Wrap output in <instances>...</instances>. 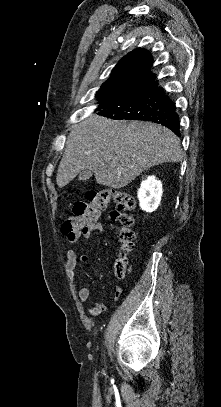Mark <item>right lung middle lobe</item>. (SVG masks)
Segmentation results:
<instances>
[{
    "label": "right lung middle lobe",
    "instance_id": "right-lung-middle-lobe-1",
    "mask_svg": "<svg viewBox=\"0 0 221 407\" xmlns=\"http://www.w3.org/2000/svg\"><path fill=\"white\" fill-rule=\"evenodd\" d=\"M138 84L129 87L127 89L115 90V89H104L100 88L99 91L96 93L98 100H100L99 107H106L109 106L122 98L128 96L132 92L136 91L137 89L141 88Z\"/></svg>",
    "mask_w": 221,
    "mask_h": 407
}]
</instances>
